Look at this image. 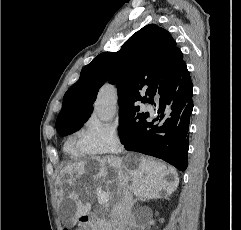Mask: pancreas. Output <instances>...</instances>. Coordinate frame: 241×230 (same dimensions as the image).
Here are the masks:
<instances>
[{
    "label": "pancreas",
    "instance_id": "obj_1",
    "mask_svg": "<svg viewBox=\"0 0 241 230\" xmlns=\"http://www.w3.org/2000/svg\"><path fill=\"white\" fill-rule=\"evenodd\" d=\"M92 230H109V224L105 219L97 218L92 225Z\"/></svg>",
    "mask_w": 241,
    "mask_h": 230
}]
</instances>
